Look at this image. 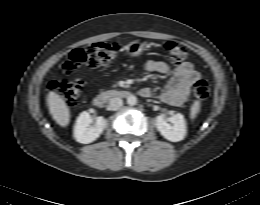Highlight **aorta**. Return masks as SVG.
I'll list each match as a JSON object with an SVG mask.
<instances>
[{"mask_svg":"<svg viewBox=\"0 0 260 205\" xmlns=\"http://www.w3.org/2000/svg\"><path fill=\"white\" fill-rule=\"evenodd\" d=\"M127 104L130 106L136 105L137 104V98L134 95H129L127 97Z\"/></svg>","mask_w":260,"mask_h":205,"instance_id":"aorta-1","label":"aorta"}]
</instances>
